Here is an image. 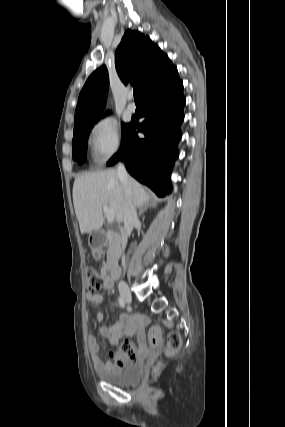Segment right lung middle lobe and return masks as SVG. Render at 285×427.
I'll use <instances>...</instances> for the list:
<instances>
[{"instance_id":"1","label":"right lung middle lobe","mask_w":285,"mask_h":427,"mask_svg":"<svg viewBox=\"0 0 285 427\" xmlns=\"http://www.w3.org/2000/svg\"><path fill=\"white\" fill-rule=\"evenodd\" d=\"M94 121L87 123L79 128L74 129V136L72 140L73 148V160L77 161L79 164H82L86 159V148H87V138L90 133V130L93 126ZM129 124H122V139L124 138Z\"/></svg>"}]
</instances>
